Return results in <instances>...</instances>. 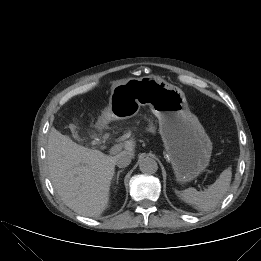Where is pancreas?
Wrapping results in <instances>:
<instances>
[{
    "label": "pancreas",
    "mask_w": 261,
    "mask_h": 261,
    "mask_svg": "<svg viewBox=\"0 0 261 261\" xmlns=\"http://www.w3.org/2000/svg\"><path fill=\"white\" fill-rule=\"evenodd\" d=\"M149 129H150L151 131H154V130H155V127H154L153 125H150Z\"/></svg>",
    "instance_id": "cf45deb5"
}]
</instances>
